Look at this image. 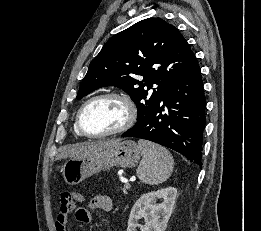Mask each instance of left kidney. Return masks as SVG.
<instances>
[{
    "instance_id": "obj_1",
    "label": "left kidney",
    "mask_w": 261,
    "mask_h": 231,
    "mask_svg": "<svg viewBox=\"0 0 261 231\" xmlns=\"http://www.w3.org/2000/svg\"><path fill=\"white\" fill-rule=\"evenodd\" d=\"M177 189L168 187L154 192H148L140 196L131 209L127 231H164L172 214ZM163 199L162 203H157ZM144 218L145 225L138 224V220Z\"/></svg>"
}]
</instances>
